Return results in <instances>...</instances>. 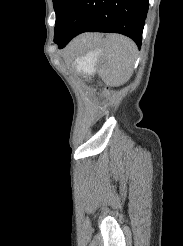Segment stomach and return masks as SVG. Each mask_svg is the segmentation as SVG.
Instances as JSON below:
<instances>
[{"label":"stomach","mask_w":183,"mask_h":246,"mask_svg":"<svg viewBox=\"0 0 183 246\" xmlns=\"http://www.w3.org/2000/svg\"><path fill=\"white\" fill-rule=\"evenodd\" d=\"M88 48L92 49L78 56L75 60L76 69L79 72L92 73L103 54L101 42L88 46Z\"/></svg>","instance_id":"stomach-1"}]
</instances>
